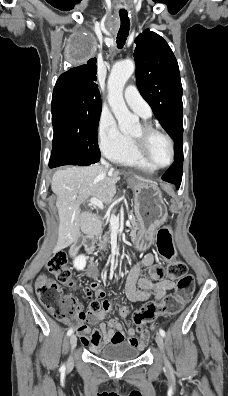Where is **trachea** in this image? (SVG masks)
I'll return each mask as SVG.
<instances>
[{
  "mask_svg": "<svg viewBox=\"0 0 228 396\" xmlns=\"http://www.w3.org/2000/svg\"><path fill=\"white\" fill-rule=\"evenodd\" d=\"M119 16H120V20H121V25H120V29L117 34L116 43H117V47L119 49H121L125 45V42L127 40L128 34H129L130 20L128 17V12L125 10H120Z\"/></svg>",
  "mask_w": 228,
  "mask_h": 396,
  "instance_id": "obj_1",
  "label": "trachea"
}]
</instances>
